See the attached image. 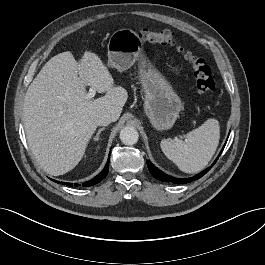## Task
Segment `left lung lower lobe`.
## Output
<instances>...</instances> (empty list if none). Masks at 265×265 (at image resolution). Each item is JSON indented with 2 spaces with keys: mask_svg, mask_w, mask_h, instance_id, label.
Masks as SVG:
<instances>
[{
  "mask_svg": "<svg viewBox=\"0 0 265 265\" xmlns=\"http://www.w3.org/2000/svg\"><path fill=\"white\" fill-rule=\"evenodd\" d=\"M222 151H223V149H222ZM222 151L220 152V154L222 153ZM147 166H148V169H149L150 173L152 174V176H154L156 179L163 181V182H172L174 184H184V183L192 182L194 180L199 179L200 177H202L204 174H206L210 170V168H208V169L204 170L203 172H201L200 174H198L192 178L176 179V178L168 176L167 174L158 170L149 160H147Z\"/></svg>",
  "mask_w": 265,
  "mask_h": 265,
  "instance_id": "left-lung-lower-lobe-1",
  "label": "left lung lower lobe"
}]
</instances>
